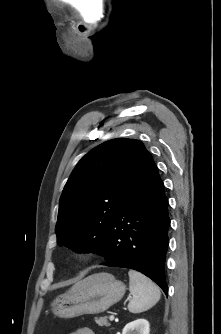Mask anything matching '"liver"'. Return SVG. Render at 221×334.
<instances>
[{
	"mask_svg": "<svg viewBox=\"0 0 221 334\" xmlns=\"http://www.w3.org/2000/svg\"><path fill=\"white\" fill-rule=\"evenodd\" d=\"M83 285H84V280L78 281L77 283H75V284L71 287L70 291H75V290L79 289L80 287H82ZM70 291H69V292H70Z\"/></svg>",
	"mask_w": 221,
	"mask_h": 334,
	"instance_id": "1",
	"label": "liver"
}]
</instances>
